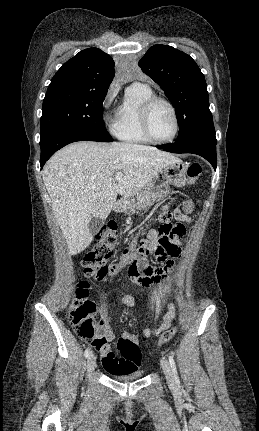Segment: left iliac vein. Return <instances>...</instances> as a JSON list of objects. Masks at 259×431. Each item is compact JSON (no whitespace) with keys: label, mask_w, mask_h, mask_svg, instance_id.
Masks as SVG:
<instances>
[{"label":"left iliac vein","mask_w":259,"mask_h":431,"mask_svg":"<svg viewBox=\"0 0 259 431\" xmlns=\"http://www.w3.org/2000/svg\"><path fill=\"white\" fill-rule=\"evenodd\" d=\"M162 369L163 372L165 374L166 380L168 382L169 385H174L175 384V379H174V375H173V371L171 369V366L169 364V362L167 360H163L162 361Z\"/></svg>","instance_id":"4c4485c4"}]
</instances>
